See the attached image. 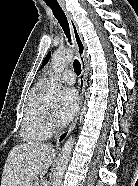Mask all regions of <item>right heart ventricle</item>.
Wrapping results in <instances>:
<instances>
[{"label":"right heart ventricle","mask_w":138,"mask_h":186,"mask_svg":"<svg viewBox=\"0 0 138 186\" xmlns=\"http://www.w3.org/2000/svg\"><path fill=\"white\" fill-rule=\"evenodd\" d=\"M44 83H40L31 93L20 128L23 141L32 143L47 139L50 135L48 109L42 99Z\"/></svg>","instance_id":"1"}]
</instances>
